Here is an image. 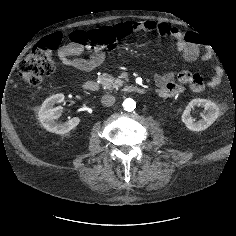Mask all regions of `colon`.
<instances>
[{
    "mask_svg": "<svg viewBox=\"0 0 236 236\" xmlns=\"http://www.w3.org/2000/svg\"><path fill=\"white\" fill-rule=\"evenodd\" d=\"M131 31L129 23H123L114 27L75 31L69 35V38L89 51H107L114 49L117 43ZM61 41L62 35L60 33L45 37L20 62L18 72L23 82L34 88H40L43 85L45 78L50 76L55 70V60L52 51L59 46Z\"/></svg>",
    "mask_w": 236,
    "mask_h": 236,
    "instance_id": "obj_1",
    "label": "colon"
}]
</instances>
